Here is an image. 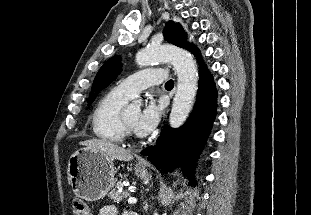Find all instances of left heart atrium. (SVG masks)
I'll return each instance as SVG.
<instances>
[{"label":"left heart atrium","mask_w":311,"mask_h":215,"mask_svg":"<svg viewBox=\"0 0 311 215\" xmlns=\"http://www.w3.org/2000/svg\"><path fill=\"white\" fill-rule=\"evenodd\" d=\"M161 110V104L153 100L146 103L133 126L136 134L139 136H147L150 134L159 122Z\"/></svg>","instance_id":"39dd6f15"}]
</instances>
